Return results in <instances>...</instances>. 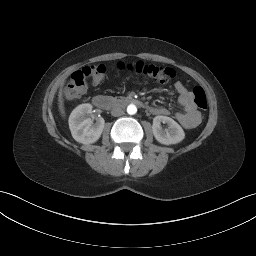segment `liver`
Segmentation results:
<instances>
[{
    "label": "liver",
    "mask_w": 256,
    "mask_h": 256,
    "mask_svg": "<svg viewBox=\"0 0 256 256\" xmlns=\"http://www.w3.org/2000/svg\"><path fill=\"white\" fill-rule=\"evenodd\" d=\"M65 78L62 80L60 85V90L58 94V108L61 116H65V108H64V100H63V93H62V87L64 85Z\"/></svg>",
    "instance_id": "6515ba94"
}]
</instances>
